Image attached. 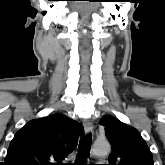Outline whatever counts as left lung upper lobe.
I'll use <instances>...</instances> for the list:
<instances>
[{"label":"left lung upper lobe","mask_w":165,"mask_h":165,"mask_svg":"<svg viewBox=\"0 0 165 165\" xmlns=\"http://www.w3.org/2000/svg\"><path fill=\"white\" fill-rule=\"evenodd\" d=\"M111 146L108 165H153V157L139 132L115 117L101 119Z\"/></svg>","instance_id":"left-lung-upper-lobe-1"}]
</instances>
